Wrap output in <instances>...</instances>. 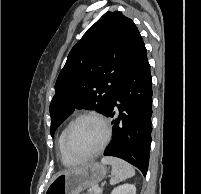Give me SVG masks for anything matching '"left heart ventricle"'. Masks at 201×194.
Instances as JSON below:
<instances>
[{"label":"left heart ventricle","mask_w":201,"mask_h":194,"mask_svg":"<svg viewBox=\"0 0 201 194\" xmlns=\"http://www.w3.org/2000/svg\"><path fill=\"white\" fill-rule=\"evenodd\" d=\"M104 139L102 124L91 118L80 120L73 127L68 146L72 153L82 156L95 151Z\"/></svg>","instance_id":"1"}]
</instances>
